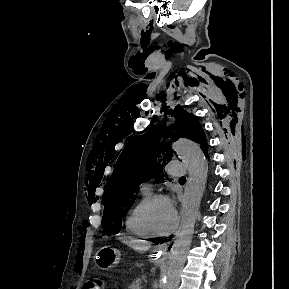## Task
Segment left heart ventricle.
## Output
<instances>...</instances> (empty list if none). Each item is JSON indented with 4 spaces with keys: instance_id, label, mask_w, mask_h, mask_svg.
<instances>
[{
    "instance_id": "left-heart-ventricle-1",
    "label": "left heart ventricle",
    "mask_w": 289,
    "mask_h": 289,
    "mask_svg": "<svg viewBox=\"0 0 289 289\" xmlns=\"http://www.w3.org/2000/svg\"><path fill=\"white\" fill-rule=\"evenodd\" d=\"M174 212L170 209L168 200L157 201L150 212L152 226L158 231L167 230L173 223Z\"/></svg>"
}]
</instances>
